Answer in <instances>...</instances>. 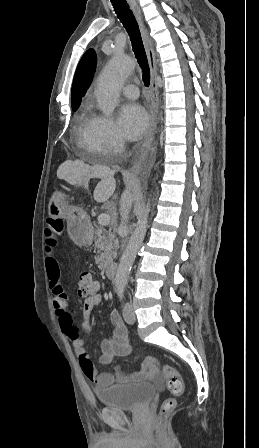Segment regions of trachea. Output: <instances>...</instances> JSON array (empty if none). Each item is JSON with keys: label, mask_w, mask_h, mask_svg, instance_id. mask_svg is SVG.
I'll use <instances>...</instances> for the list:
<instances>
[{"label": "trachea", "mask_w": 259, "mask_h": 448, "mask_svg": "<svg viewBox=\"0 0 259 448\" xmlns=\"http://www.w3.org/2000/svg\"><path fill=\"white\" fill-rule=\"evenodd\" d=\"M113 8L124 25L130 37L133 51L142 70V78L144 85L149 87L150 85V68L148 65V59L144 49L143 41L141 38V33L139 30V25L135 20L132 11L129 8L126 0H111Z\"/></svg>", "instance_id": "3493384b"}]
</instances>
